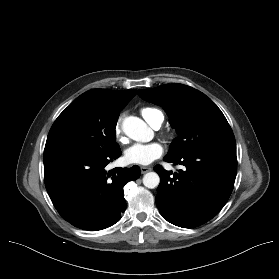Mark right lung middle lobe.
<instances>
[{
  "instance_id": "obj_1",
  "label": "right lung middle lobe",
  "mask_w": 279,
  "mask_h": 279,
  "mask_svg": "<svg viewBox=\"0 0 279 279\" xmlns=\"http://www.w3.org/2000/svg\"><path fill=\"white\" fill-rule=\"evenodd\" d=\"M119 114L99 109L80 95L52 125L44 153L66 149L108 153L119 148L115 132Z\"/></svg>"
}]
</instances>
